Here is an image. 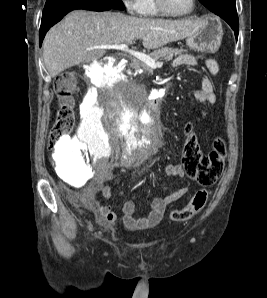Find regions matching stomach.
<instances>
[{
  "label": "stomach",
  "instance_id": "stomach-1",
  "mask_svg": "<svg viewBox=\"0 0 267 298\" xmlns=\"http://www.w3.org/2000/svg\"><path fill=\"white\" fill-rule=\"evenodd\" d=\"M203 22L204 25L196 34L186 38V43L193 50L214 53L221 45L223 37L222 24L212 17H206Z\"/></svg>",
  "mask_w": 267,
  "mask_h": 298
}]
</instances>
